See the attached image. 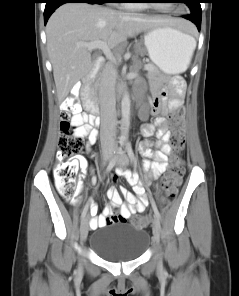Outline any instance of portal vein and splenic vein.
I'll use <instances>...</instances> for the list:
<instances>
[{
  "label": "portal vein and splenic vein",
  "instance_id": "18ae733b",
  "mask_svg": "<svg viewBox=\"0 0 239 296\" xmlns=\"http://www.w3.org/2000/svg\"><path fill=\"white\" fill-rule=\"evenodd\" d=\"M78 45L82 47H86L89 50L101 49L109 60L116 62V59L113 53L111 52L110 47L107 45L105 41L97 40V41H92L87 43H79ZM145 69L149 70L150 69L149 65L145 66Z\"/></svg>",
  "mask_w": 239,
  "mask_h": 296
}]
</instances>
